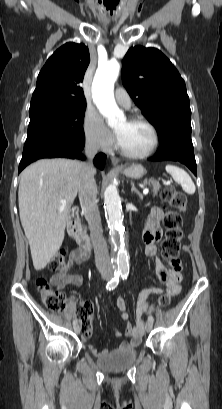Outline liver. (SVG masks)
<instances>
[{
  "mask_svg": "<svg viewBox=\"0 0 222 409\" xmlns=\"http://www.w3.org/2000/svg\"><path fill=\"white\" fill-rule=\"evenodd\" d=\"M81 166L71 159H40L21 173L19 214L35 270L44 269L62 245Z\"/></svg>",
  "mask_w": 222,
  "mask_h": 409,
  "instance_id": "obj_1",
  "label": "liver"
}]
</instances>
